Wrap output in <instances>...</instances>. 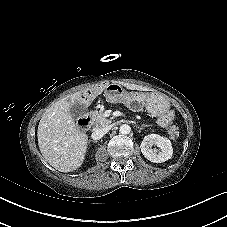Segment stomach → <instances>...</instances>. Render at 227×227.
Masks as SVG:
<instances>
[{"label": "stomach", "instance_id": "stomach-1", "mask_svg": "<svg viewBox=\"0 0 227 227\" xmlns=\"http://www.w3.org/2000/svg\"><path fill=\"white\" fill-rule=\"evenodd\" d=\"M105 93L106 99L110 103H124L130 107L137 106L138 108H145L154 116L163 115L170 108L168 99L154 92H127L121 85L112 83L106 86Z\"/></svg>", "mask_w": 227, "mask_h": 227}]
</instances>
